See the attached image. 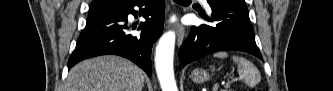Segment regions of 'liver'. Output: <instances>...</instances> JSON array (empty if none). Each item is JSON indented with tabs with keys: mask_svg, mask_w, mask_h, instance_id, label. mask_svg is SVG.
Wrapping results in <instances>:
<instances>
[{
	"mask_svg": "<svg viewBox=\"0 0 333 91\" xmlns=\"http://www.w3.org/2000/svg\"><path fill=\"white\" fill-rule=\"evenodd\" d=\"M143 71L127 59L101 56L84 60L68 74L64 91H142Z\"/></svg>",
	"mask_w": 333,
	"mask_h": 91,
	"instance_id": "6515ba94",
	"label": "liver"
}]
</instances>
